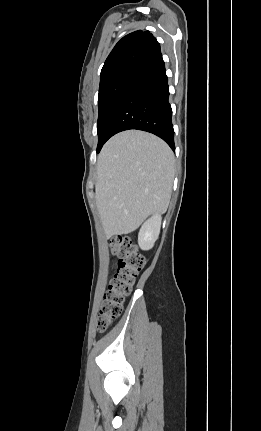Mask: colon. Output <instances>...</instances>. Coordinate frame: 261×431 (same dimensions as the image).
Listing matches in <instances>:
<instances>
[{"mask_svg":"<svg viewBox=\"0 0 261 431\" xmlns=\"http://www.w3.org/2000/svg\"><path fill=\"white\" fill-rule=\"evenodd\" d=\"M110 247L118 258V265L97 317L99 332L105 331L121 314L124 299L130 294L135 278L145 264L136 244L127 236L112 239Z\"/></svg>","mask_w":261,"mask_h":431,"instance_id":"5ec220e1","label":"colon"}]
</instances>
